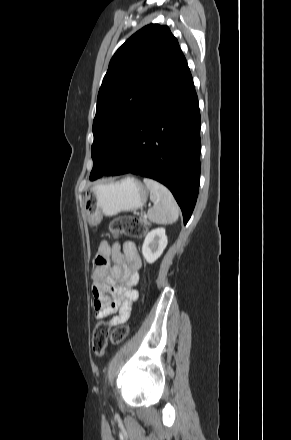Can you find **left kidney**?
I'll return each mask as SVG.
<instances>
[{"instance_id":"5707ae66","label":"left kidney","mask_w":291,"mask_h":440,"mask_svg":"<svg viewBox=\"0 0 291 440\" xmlns=\"http://www.w3.org/2000/svg\"><path fill=\"white\" fill-rule=\"evenodd\" d=\"M167 246L165 228L160 227L150 231L143 242L142 254L148 263H154Z\"/></svg>"}]
</instances>
